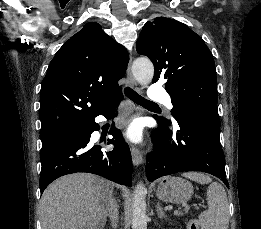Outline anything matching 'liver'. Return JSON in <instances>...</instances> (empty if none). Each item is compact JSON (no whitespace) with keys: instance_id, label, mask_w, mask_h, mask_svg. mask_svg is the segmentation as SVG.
<instances>
[{"instance_id":"6515ba94","label":"liver","mask_w":261,"mask_h":229,"mask_svg":"<svg viewBox=\"0 0 261 229\" xmlns=\"http://www.w3.org/2000/svg\"><path fill=\"white\" fill-rule=\"evenodd\" d=\"M113 189L111 181L91 173L57 179L41 197V229H104Z\"/></svg>"}]
</instances>
